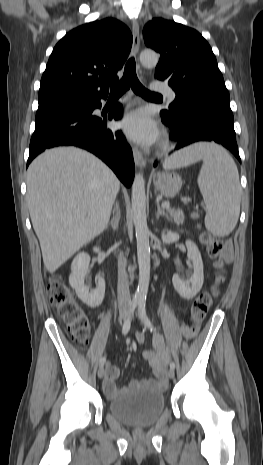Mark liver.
Here are the masks:
<instances>
[{
	"instance_id": "1",
	"label": "liver",
	"mask_w": 263,
	"mask_h": 465,
	"mask_svg": "<svg viewBox=\"0 0 263 465\" xmlns=\"http://www.w3.org/2000/svg\"><path fill=\"white\" fill-rule=\"evenodd\" d=\"M26 183L31 221L50 273L105 230L120 189L107 165L76 147L39 155Z\"/></svg>"
}]
</instances>
